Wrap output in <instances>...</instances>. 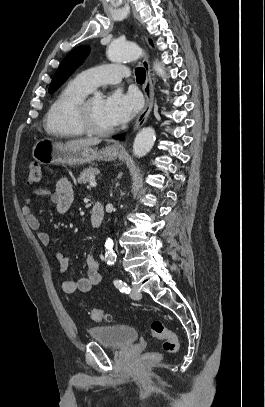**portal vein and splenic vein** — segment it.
Wrapping results in <instances>:
<instances>
[{
  "label": "portal vein and splenic vein",
  "instance_id": "18ae733b",
  "mask_svg": "<svg viewBox=\"0 0 265 407\" xmlns=\"http://www.w3.org/2000/svg\"><path fill=\"white\" fill-rule=\"evenodd\" d=\"M96 185H97V183H96L95 180H92V181L89 183V187H95Z\"/></svg>",
  "mask_w": 265,
  "mask_h": 407
}]
</instances>
